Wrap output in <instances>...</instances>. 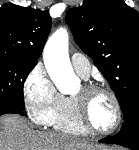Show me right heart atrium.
I'll return each mask as SVG.
<instances>
[{
  "label": "right heart atrium",
  "instance_id": "1",
  "mask_svg": "<svg viewBox=\"0 0 139 150\" xmlns=\"http://www.w3.org/2000/svg\"><path fill=\"white\" fill-rule=\"evenodd\" d=\"M23 96L26 111L32 122L39 126H47L61 100V94L43 65L37 64L26 76Z\"/></svg>",
  "mask_w": 139,
  "mask_h": 150
}]
</instances>
